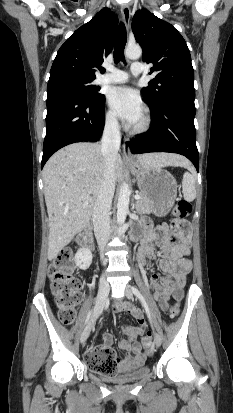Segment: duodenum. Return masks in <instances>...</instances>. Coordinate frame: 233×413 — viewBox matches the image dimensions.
I'll return each mask as SVG.
<instances>
[{"mask_svg": "<svg viewBox=\"0 0 233 413\" xmlns=\"http://www.w3.org/2000/svg\"><path fill=\"white\" fill-rule=\"evenodd\" d=\"M80 244L82 247L86 248V249H91L92 245H93V239H92V235L89 231L84 232L81 236H80Z\"/></svg>", "mask_w": 233, "mask_h": 413, "instance_id": "obj_1", "label": "duodenum"}]
</instances>
